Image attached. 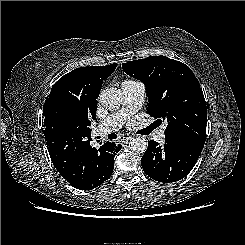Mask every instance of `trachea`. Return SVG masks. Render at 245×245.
I'll return each instance as SVG.
<instances>
[{
    "instance_id": "1",
    "label": "trachea",
    "mask_w": 245,
    "mask_h": 245,
    "mask_svg": "<svg viewBox=\"0 0 245 245\" xmlns=\"http://www.w3.org/2000/svg\"><path fill=\"white\" fill-rule=\"evenodd\" d=\"M108 138H109L110 140L116 139V138H117V135L112 133V134H109V135H108Z\"/></svg>"
}]
</instances>
